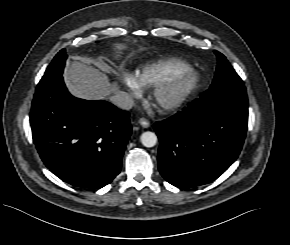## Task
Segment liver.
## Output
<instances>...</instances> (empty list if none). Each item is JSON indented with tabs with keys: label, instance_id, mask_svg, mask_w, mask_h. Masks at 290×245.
<instances>
[{
	"label": "liver",
	"instance_id": "liver-1",
	"mask_svg": "<svg viewBox=\"0 0 290 245\" xmlns=\"http://www.w3.org/2000/svg\"><path fill=\"white\" fill-rule=\"evenodd\" d=\"M64 80L70 92L86 100H99L119 91L117 83H110L106 74L82 61L69 63Z\"/></svg>",
	"mask_w": 290,
	"mask_h": 245
}]
</instances>
